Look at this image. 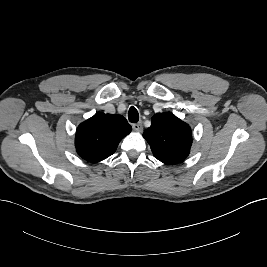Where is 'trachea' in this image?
Returning a JSON list of instances; mask_svg holds the SVG:
<instances>
[{
  "label": "trachea",
  "mask_w": 267,
  "mask_h": 267,
  "mask_svg": "<svg viewBox=\"0 0 267 267\" xmlns=\"http://www.w3.org/2000/svg\"><path fill=\"white\" fill-rule=\"evenodd\" d=\"M128 119L131 123H137L139 120V113L137 109L133 106H131L128 111Z\"/></svg>",
  "instance_id": "obj_1"
}]
</instances>
